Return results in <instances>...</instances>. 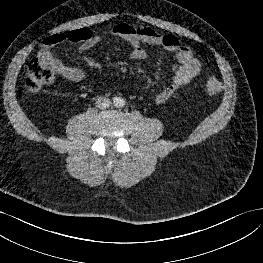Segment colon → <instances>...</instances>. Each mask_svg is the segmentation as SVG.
Masks as SVG:
<instances>
[{"instance_id":"obj_1","label":"colon","mask_w":263,"mask_h":263,"mask_svg":"<svg viewBox=\"0 0 263 263\" xmlns=\"http://www.w3.org/2000/svg\"><path fill=\"white\" fill-rule=\"evenodd\" d=\"M55 79L53 69L38 59L32 60L27 66L25 87L29 92H38L44 86L51 84ZM222 89L221 82L210 76L206 79L204 90L209 95H215Z\"/></svg>"}]
</instances>
